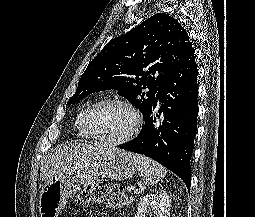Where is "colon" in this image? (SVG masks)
<instances>
[{
	"mask_svg": "<svg viewBox=\"0 0 255 217\" xmlns=\"http://www.w3.org/2000/svg\"><path fill=\"white\" fill-rule=\"evenodd\" d=\"M80 204L103 203L112 208H121L129 204V198L123 188L101 181L93 186L84 188L76 197Z\"/></svg>",
	"mask_w": 255,
	"mask_h": 217,
	"instance_id": "5ec220e1",
	"label": "colon"
}]
</instances>
